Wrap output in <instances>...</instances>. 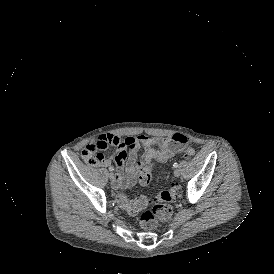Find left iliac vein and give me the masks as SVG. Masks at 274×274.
Returning <instances> with one entry per match:
<instances>
[{
    "instance_id": "obj_1",
    "label": "left iliac vein",
    "mask_w": 274,
    "mask_h": 274,
    "mask_svg": "<svg viewBox=\"0 0 274 274\" xmlns=\"http://www.w3.org/2000/svg\"><path fill=\"white\" fill-rule=\"evenodd\" d=\"M175 177H178L180 175V170L179 169H175L173 172Z\"/></svg>"
}]
</instances>
